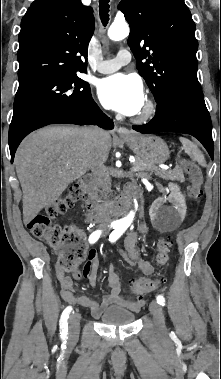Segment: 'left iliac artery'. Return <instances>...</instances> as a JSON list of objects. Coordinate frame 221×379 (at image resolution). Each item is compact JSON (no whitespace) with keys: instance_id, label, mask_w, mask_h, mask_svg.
Returning <instances> with one entry per match:
<instances>
[{"instance_id":"44dca946","label":"left iliac artery","mask_w":221,"mask_h":379,"mask_svg":"<svg viewBox=\"0 0 221 379\" xmlns=\"http://www.w3.org/2000/svg\"><path fill=\"white\" fill-rule=\"evenodd\" d=\"M125 228L119 226L117 229H115L109 236L110 242H115L119 237L124 233ZM157 303L161 306L165 305V298L163 295H158L156 297Z\"/></svg>"}]
</instances>
